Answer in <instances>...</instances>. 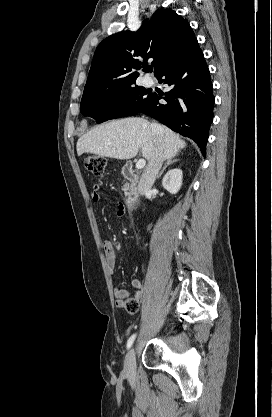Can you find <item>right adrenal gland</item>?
Segmentation results:
<instances>
[{"instance_id": "right-adrenal-gland-1", "label": "right adrenal gland", "mask_w": 272, "mask_h": 417, "mask_svg": "<svg viewBox=\"0 0 272 417\" xmlns=\"http://www.w3.org/2000/svg\"><path fill=\"white\" fill-rule=\"evenodd\" d=\"M177 161H178V159H172V158H169V159L167 160V162L165 163V165H164L163 169H162V170L160 171V173L158 174L157 178H159V177H161V176H162V174L164 173L165 169H166L169 165H171V164H173V163H176Z\"/></svg>"}]
</instances>
